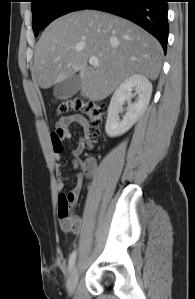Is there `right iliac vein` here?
<instances>
[{"label":"right iliac vein","instance_id":"1","mask_svg":"<svg viewBox=\"0 0 195 299\" xmlns=\"http://www.w3.org/2000/svg\"><path fill=\"white\" fill-rule=\"evenodd\" d=\"M78 276H79L78 268L77 266H74L67 280V290L69 294H73L75 292Z\"/></svg>","mask_w":195,"mask_h":299}]
</instances>
